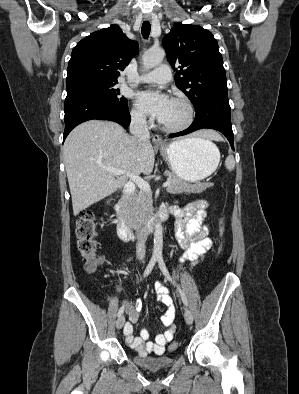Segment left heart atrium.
<instances>
[{
  "label": "left heart atrium",
  "instance_id": "39dd6f15",
  "mask_svg": "<svg viewBox=\"0 0 299 394\" xmlns=\"http://www.w3.org/2000/svg\"><path fill=\"white\" fill-rule=\"evenodd\" d=\"M172 100L157 91H142L137 94L138 107L160 121L166 116Z\"/></svg>",
  "mask_w": 299,
  "mask_h": 394
}]
</instances>
